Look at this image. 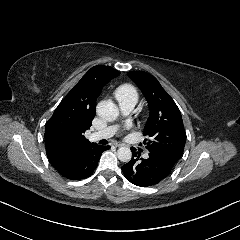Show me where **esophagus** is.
Masks as SVG:
<instances>
[{
  "label": "esophagus",
  "mask_w": 240,
  "mask_h": 240,
  "mask_svg": "<svg viewBox=\"0 0 240 240\" xmlns=\"http://www.w3.org/2000/svg\"><path fill=\"white\" fill-rule=\"evenodd\" d=\"M115 146H116V147H122V146H127V145L124 144V143H117Z\"/></svg>",
  "instance_id": "34e87169"
}]
</instances>
